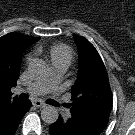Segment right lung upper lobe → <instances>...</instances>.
<instances>
[{"label": "right lung upper lobe", "mask_w": 135, "mask_h": 135, "mask_svg": "<svg viewBox=\"0 0 135 135\" xmlns=\"http://www.w3.org/2000/svg\"><path fill=\"white\" fill-rule=\"evenodd\" d=\"M39 39L17 33L0 37V106L19 101L17 97L11 99L10 89L19 78L23 51Z\"/></svg>", "instance_id": "cb5924a9"}]
</instances>
